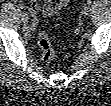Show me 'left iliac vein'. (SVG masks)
Wrapping results in <instances>:
<instances>
[{"mask_svg": "<svg viewBox=\"0 0 111 106\" xmlns=\"http://www.w3.org/2000/svg\"><path fill=\"white\" fill-rule=\"evenodd\" d=\"M89 13H90V8H89V7H85V8L83 9V11H82V14H83L84 16L89 15Z\"/></svg>", "mask_w": 111, "mask_h": 106, "instance_id": "obj_1", "label": "left iliac vein"}]
</instances>
